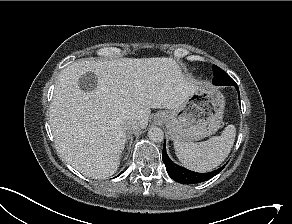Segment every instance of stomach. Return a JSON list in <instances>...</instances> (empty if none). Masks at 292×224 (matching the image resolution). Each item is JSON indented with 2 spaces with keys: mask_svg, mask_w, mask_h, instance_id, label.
<instances>
[{
  "mask_svg": "<svg viewBox=\"0 0 292 224\" xmlns=\"http://www.w3.org/2000/svg\"><path fill=\"white\" fill-rule=\"evenodd\" d=\"M224 108V95L210 83L201 82L180 107L156 113L155 121L165 124L174 142H194L217 132Z\"/></svg>",
  "mask_w": 292,
  "mask_h": 224,
  "instance_id": "1",
  "label": "stomach"
}]
</instances>
